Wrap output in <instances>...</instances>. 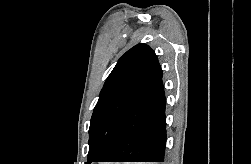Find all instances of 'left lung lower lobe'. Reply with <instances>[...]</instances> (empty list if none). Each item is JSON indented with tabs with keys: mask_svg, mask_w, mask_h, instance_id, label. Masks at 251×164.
<instances>
[{
	"mask_svg": "<svg viewBox=\"0 0 251 164\" xmlns=\"http://www.w3.org/2000/svg\"><path fill=\"white\" fill-rule=\"evenodd\" d=\"M165 104L161 77L130 108L102 162H164Z\"/></svg>",
	"mask_w": 251,
	"mask_h": 164,
	"instance_id": "obj_1",
	"label": "left lung lower lobe"
}]
</instances>
